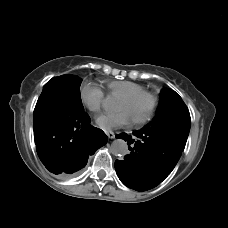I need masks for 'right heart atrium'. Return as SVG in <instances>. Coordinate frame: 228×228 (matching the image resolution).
<instances>
[{"mask_svg":"<svg viewBox=\"0 0 228 228\" xmlns=\"http://www.w3.org/2000/svg\"><path fill=\"white\" fill-rule=\"evenodd\" d=\"M83 100L91 110H98L100 107L108 105V101L104 99L101 91L89 85L83 88Z\"/></svg>","mask_w":228,"mask_h":228,"instance_id":"1","label":"right heart atrium"}]
</instances>
